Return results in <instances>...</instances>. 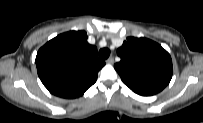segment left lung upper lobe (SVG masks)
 Listing matches in <instances>:
<instances>
[{
	"instance_id": "1",
	"label": "left lung upper lobe",
	"mask_w": 203,
	"mask_h": 123,
	"mask_svg": "<svg viewBox=\"0 0 203 123\" xmlns=\"http://www.w3.org/2000/svg\"><path fill=\"white\" fill-rule=\"evenodd\" d=\"M121 61L114 65L123 83L133 92L151 96L163 90L173 74L172 59L158 43L128 37L117 50Z\"/></svg>"
}]
</instances>
